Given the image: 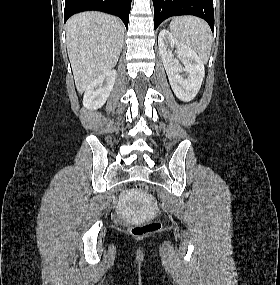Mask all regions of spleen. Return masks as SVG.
<instances>
[{"mask_svg":"<svg viewBox=\"0 0 280 285\" xmlns=\"http://www.w3.org/2000/svg\"><path fill=\"white\" fill-rule=\"evenodd\" d=\"M173 35L207 63L211 51L212 34L208 24L197 17H175L170 23Z\"/></svg>","mask_w":280,"mask_h":285,"instance_id":"spleen-1","label":"spleen"}]
</instances>
